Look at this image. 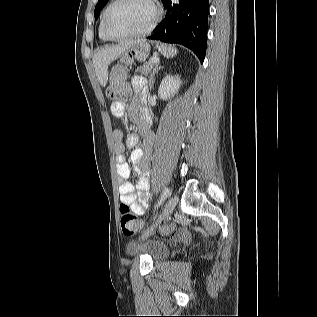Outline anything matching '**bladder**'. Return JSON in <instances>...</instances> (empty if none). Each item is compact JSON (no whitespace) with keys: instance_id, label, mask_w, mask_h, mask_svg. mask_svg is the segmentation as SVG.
<instances>
[{"instance_id":"bladder-1","label":"bladder","mask_w":317,"mask_h":317,"mask_svg":"<svg viewBox=\"0 0 317 317\" xmlns=\"http://www.w3.org/2000/svg\"><path fill=\"white\" fill-rule=\"evenodd\" d=\"M126 249L133 256L148 255L152 259L163 258L169 252L166 244L161 241L133 240L127 244Z\"/></svg>"}]
</instances>
